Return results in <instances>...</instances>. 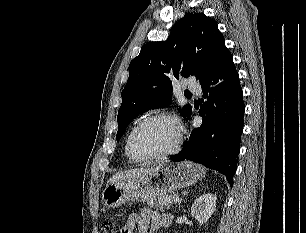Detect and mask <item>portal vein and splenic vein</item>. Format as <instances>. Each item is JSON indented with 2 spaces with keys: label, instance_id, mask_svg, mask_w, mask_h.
I'll list each match as a JSON object with an SVG mask.
<instances>
[{
  "label": "portal vein and splenic vein",
  "instance_id": "18ae733b",
  "mask_svg": "<svg viewBox=\"0 0 306 233\" xmlns=\"http://www.w3.org/2000/svg\"><path fill=\"white\" fill-rule=\"evenodd\" d=\"M182 200V198H180V197H177V198H175V202H180Z\"/></svg>",
  "mask_w": 306,
  "mask_h": 233
}]
</instances>
